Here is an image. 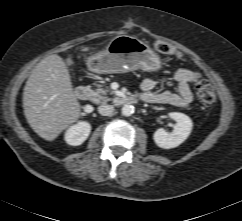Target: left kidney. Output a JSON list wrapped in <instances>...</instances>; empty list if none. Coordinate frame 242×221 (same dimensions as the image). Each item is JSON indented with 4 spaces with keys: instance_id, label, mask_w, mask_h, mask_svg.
I'll use <instances>...</instances> for the list:
<instances>
[{
    "instance_id": "left-kidney-1",
    "label": "left kidney",
    "mask_w": 242,
    "mask_h": 221,
    "mask_svg": "<svg viewBox=\"0 0 242 221\" xmlns=\"http://www.w3.org/2000/svg\"><path fill=\"white\" fill-rule=\"evenodd\" d=\"M169 117L176 121L172 132L163 128L157 129L153 135L156 145L163 149H171L179 146L190 135L193 127L190 117L183 113L172 112Z\"/></svg>"
}]
</instances>
